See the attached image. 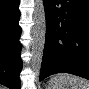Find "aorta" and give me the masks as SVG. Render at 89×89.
Returning a JSON list of instances; mask_svg holds the SVG:
<instances>
[{
  "mask_svg": "<svg viewBox=\"0 0 89 89\" xmlns=\"http://www.w3.org/2000/svg\"><path fill=\"white\" fill-rule=\"evenodd\" d=\"M33 21L34 25L32 27L31 66L34 73L38 75L42 65L46 36V16L42 0H35Z\"/></svg>",
  "mask_w": 89,
  "mask_h": 89,
  "instance_id": "1",
  "label": "aorta"
}]
</instances>
